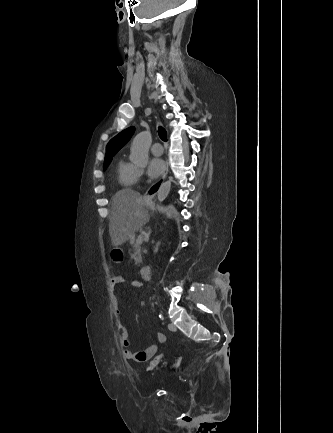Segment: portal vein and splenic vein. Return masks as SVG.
Instances as JSON below:
<instances>
[{
    "instance_id": "obj_1",
    "label": "portal vein and splenic vein",
    "mask_w": 333,
    "mask_h": 433,
    "mask_svg": "<svg viewBox=\"0 0 333 433\" xmlns=\"http://www.w3.org/2000/svg\"><path fill=\"white\" fill-rule=\"evenodd\" d=\"M137 242L140 243V244H142V242H143V236H139L137 238Z\"/></svg>"
}]
</instances>
